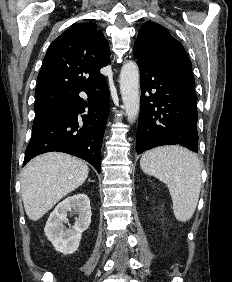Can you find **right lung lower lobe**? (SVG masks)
Segmentation results:
<instances>
[{
    "label": "right lung lower lobe",
    "mask_w": 232,
    "mask_h": 282,
    "mask_svg": "<svg viewBox=\"0 0 232 282\" xmlns=\"http://www.w3.org/2000/svg\"><path fill=\"white\" fill-rule=\"evenodd\" d=\"M84 91L89 96L86 103L79 97ZM110 109V95L105 78L72 94L56 111L36 121L32 138L26 148L24 165L35 156L50 152H65L89 162L100 173V152Z\"/></svg>",
    "instance_id": "right-lung-lower-lobe-1"
}]
</instances>
